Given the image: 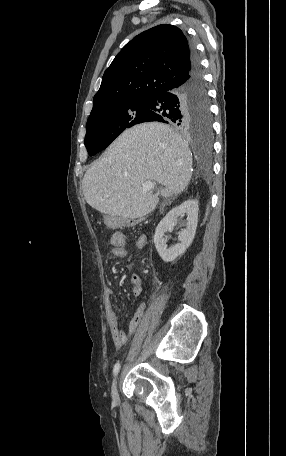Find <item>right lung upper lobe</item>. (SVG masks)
Returning a JSON list of instances; mask_svg holds the SVG:
<instances>
[{
	"mask_svg": "<svg viewBox=\"0 0 286 456\" xmlns=\"http://www.w3.org/2000/svg\"><path fill=\"white\" fill-rule=\"evenodd\" d=\"M190 59L191 45L179 28L162 24L142 32L122 48L105 71L91 115L106 105L146 99L184 83Z\"/></svg>",
	"mask_w": 286,
	"mask_h": 456,
	"instance_id": "right-lung-upper-lobe-1",
	"label": "right lung upper lobe"
}]
</instances>
